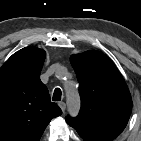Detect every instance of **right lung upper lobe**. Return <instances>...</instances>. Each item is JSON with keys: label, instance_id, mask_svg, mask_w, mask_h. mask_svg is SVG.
<instances>
[{"label": "right lung upper lobe", "instance_id": "obj_1", "mask_svg": "<svg viewBox=\"0 0 141 141\" xmlns=\"http://www.w3.org/2000/svg\"><path fill=\"white\" fill-rule=\"evenodd\" d=\"M45 51L25 47L0 68V141H39L52 118L62 114L40 80Z\"/></svg>", "mask_w": 141, "mask_h": 141}]
</instances>
